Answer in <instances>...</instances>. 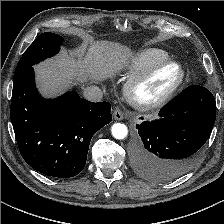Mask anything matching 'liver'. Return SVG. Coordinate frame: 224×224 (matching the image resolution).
I'll use <instances>...</instances> for the list:
<instances>
[{"instance_id": "liver-1", "label": "liver", "mask_w": 224, "mask_h": 224, "mask_svg": "<svg viewBox=\"0 0 224 224\" xmlns=\"http://www.w3.org/2000/svg\"><path fill=\"white\" fill-rule=\"evenodd\" d=\"M131 56L128 47L110 41H91L78 54L62 50L57 57L35 67L40 91L51 97L76 82L106 80L118 73Z\"/></svg>"}]
</instances>
